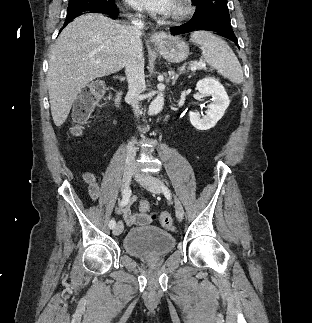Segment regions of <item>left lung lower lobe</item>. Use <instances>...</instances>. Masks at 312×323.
Segmentation results:
<instances>
[{"label":"left lung lower lobe","instance_id":"obj_1","mask_svg":"<svg viewBox=\"0 0 312 323\" xmlns=\"http://www.w3.org/2000/svg\"><path fill=\"white\" fill-rule=\"evenodd\" d=\"M197 30L216 32L218 35L234 41L238 46L237 38L230 24V17L227 15H214L206 17L204 20L196 22L189 21L181 26L170 28V32L173 35L185 34Z\"/></svg>","mask_w":312,"mask_h":323}]
</instances>
